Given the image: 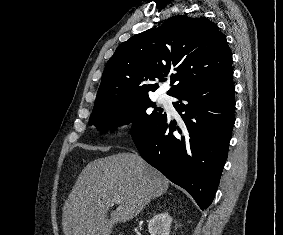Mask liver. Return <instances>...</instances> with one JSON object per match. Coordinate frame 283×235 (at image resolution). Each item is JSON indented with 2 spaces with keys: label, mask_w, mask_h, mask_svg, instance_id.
<instances>
[{
  "label": "liver",
  "mask_w": 283,
  "mask_h": 235,
  "mask_svg": "<svg viewBox=\"0 0 283 235\" xmlns=\"http://www.w3.org/2000/svg\"><path fill=\"white\" fill-rule=\"evenodd\" d=\"M168 187V179L136 153L96 159L84 167L65 202L64 235H110L115 223L136 217ZM113 198L120 202L108 219Z\"/></svg>",
  "instance_id": "obj_1"
}]
</instances>
